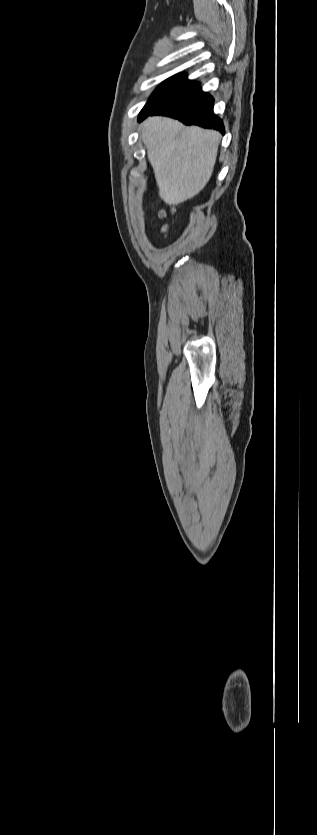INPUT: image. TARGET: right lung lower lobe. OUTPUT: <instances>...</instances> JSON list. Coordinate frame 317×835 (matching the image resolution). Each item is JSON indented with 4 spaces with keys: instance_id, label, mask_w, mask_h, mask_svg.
<instances>
[{
    "instance_id": "obj_1",
    "label": "right lung lower lobe",
    "mask_w": 317,
    "mask_h": 835,
    "mask_svg": "<svg viewBox=\"0 0 317 835\" xmlns=\"http://www.w3.org/2000/svg\"><path fill=\"white\" fill-rule=\"evenodd\" d=\"M213 105L214 99L208 93L195 89L144 114L139 121L149 115L161 114L176 118L186 125L215 129L224 134V125L213 113Z\"/></svg>"
}]
</instances>
